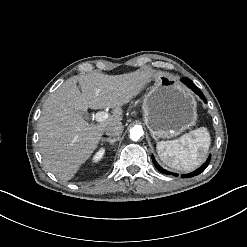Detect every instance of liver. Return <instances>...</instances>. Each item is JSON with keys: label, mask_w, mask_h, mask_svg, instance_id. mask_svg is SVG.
I'll return each mask as SVG.
<instances>
[{"label": "liver", "mask_w": 247, "mask_h": 247, "mask_svg": "<svg viewBox=\"0 0 247 247\" xmlns=\"http://www.w3.org/2000/svg\"><path fill=\"white\" fill-rule=\"evenodd\" d=\"M155 75L151 68L121 75L91 72L64 82L46 99L39 118V149L44 166L61 180L72 178L95 149L105 127L121 120L120 110L116 109L102 123L88 124L74 108L119 107Z\"/></svg>", "instance_id": "obj_1"}]
</instances>
